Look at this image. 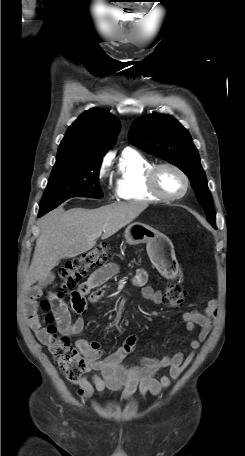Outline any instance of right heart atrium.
Segmentation results:
<instances>
[{
	"label": "right heart atrium",
	"mask_w": 245,
	"mask_h": 456,
	"mask_svg": "<svg viewBox=\"0 0 245 456\" xmlns=\"http://www.w3.org/2000/svg\"><path fill=\"white\" fill-rule=\"evenodd\" d=\"M107 168H108V161L103 160V162L101 163L99 170H98V178L100 180H102L106 176Z\"/></svg>",
	"instance_id": "right-heart-atrium-1"
}]
</instances>
